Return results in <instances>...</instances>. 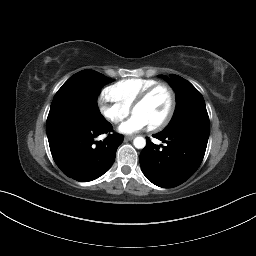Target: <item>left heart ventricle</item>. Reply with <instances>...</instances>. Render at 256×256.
<instances>
[{"instance_id": "b2bd125f", "label": "left heart ventricle", "mask_w": 256, "mask_h": 256, "mask_svg": "<svg viewBox=\"0 0 256 256\" xmlns=\"http://www.w3.org/2000/svg\"><path fill=\"white\" fill-rule=\"evenodd\" d=\"M170 96L166 89L159 88L148 98V100L136 107L132 112L144 117L151 126L162 120L168 112Z\"/></svg>"}]
</instances>
